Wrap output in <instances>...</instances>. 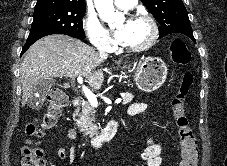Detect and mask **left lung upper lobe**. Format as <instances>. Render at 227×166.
Segmentation results:
<instances>
[{
    "instance_id": "obj_1",
    "label": "left lung upper lobe",
    "mask_w": 227,
    "mask_h": 166,
    "mask_svg": "<svg viewBox=\"0 0 227 166\" xmlns=\"http://www.w3.org/2000/svg\"><path fill=\"white\" fill-rule=\"evenodd\" d=\"M160 23L159 38L172 33L193 35L187 10L182 0H141Z\"/></svg>"
}]
</instances>
